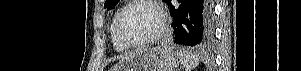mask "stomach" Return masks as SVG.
<instances>
[{"label":"stomach","mask_w":301,"mask_h":71,"mask_svg":"<svg viewBox=\"0 0 301 71\" xmlns=\"http://www.w3.org/2000/svg\"><path fill=\"white\" fill-rule=\"evenodd\" d=\"M180 59L165 46L144 48L123 58L113 71H176Z\"/></svg>","instance_id":"1"}]
</instances>
